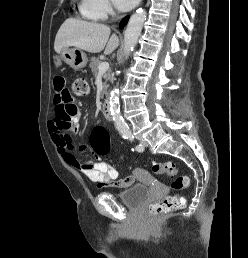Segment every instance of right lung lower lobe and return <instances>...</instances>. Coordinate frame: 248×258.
I'll list each match as a JSON object with an SVG mask.
<instances>
[{
	"label": "right lung lower lobe",
	"mask_w": 248,
	"mask_h": 258,
	"mask_svg": "<svg viewBox=\"0 0 248 258\" xmlns=\"http://www.w3.org/2000/svg\"><path fill=\"white\" fill-rule=\"evenodd\" d=\"M128 19H129V16L125 17V18L121 21V23H120V28H123V27H124V25L127 23Z\"/></svg>",
	"instance_id": "right-lung-lower-lobe-1"
}]
</instances>
